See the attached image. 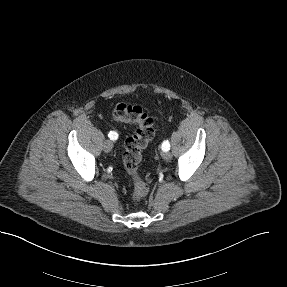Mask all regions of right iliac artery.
<instances>
[{"label": "right iliac artery", "mask_w": 287, "mask_h": 287, "mask_svg": "<svg viewBox=\"0 0 287 287\" xmlns=\"http://www.w3.org/2000/svg\"><path fill=\"white\" fill-rule=\"evenodd\" d=\"M108 136L111 140H116L118 138V134L115 131H110Z\"/></svg>", "instance_id": "obj_1"}]
</instances>
